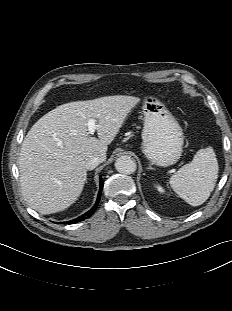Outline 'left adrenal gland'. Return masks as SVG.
<instances>
[{
  "label": "left adrenal gland",
  "mask_w": 232,
  "mask_h": 311,
  "mask_svg": "<svg viewBox=\"0 0 232 311\" xmlns=\"http://www.w3.org/2000/svg\"><path fill=\"white\" fill-rule=\"evenodd\" d=\"M147 169H151L152 170L153 168L151 166H149Z\"/></svg>",
  "instance_id": "1"
}]
</instances>
